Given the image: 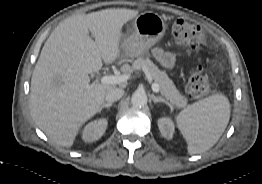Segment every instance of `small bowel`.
Wrapping results in <instances>:
<instances>
[{
	"instance_id": "small-bowel-1",
	"label": "small bowel",
	"mask_w": 262,
	"mask_h": 184,
	"mask_svg": "<svg viewBox=\"0 0 262 184\" xmlns=\"http://www.w3.org/2000/svg\"><path fill=\"white\" fill-rule=\"evenodd\" d=\"M153 55L157 61L165 68H173L177 61L182 57L178 52H166L161 48H154Z\"/></svg>"
}]
</instances>
